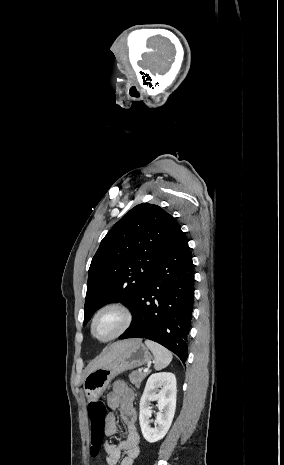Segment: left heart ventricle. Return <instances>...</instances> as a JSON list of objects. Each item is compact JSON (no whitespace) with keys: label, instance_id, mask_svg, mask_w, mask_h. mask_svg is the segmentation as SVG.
Masks as SVG:
<instances>
[{"label":"left heart ventricle","instance_id":"b2bd125f","mask_svg":"<svg viewBox=\"0 0 284 465\" xmlns=\"http://www.w3.org/2000/svg\"><path fill=\"white\" fill-rule=\"evenodd\" d=\"M122 324L121 316L114 311H105L100 314L93 328L96 338H108L115 334Z\"/></svg>","mask_w":284,"mask_h":465}]
</instances>
